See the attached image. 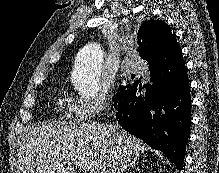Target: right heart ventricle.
I'll return each mask as SVG.
<instances>
[{"instance_id": "1", "label": "right heart ventricle", "mask_w": 219, "mask_h": 173, "mask_svg": "<svg viewBox=\"0 0 219 173\" xmlns=\"http://www.w3.org/2000/svg\"><path fill=\"white\" fill-rule=\"evenodd\" d=\"M60 110L63 109V104L62 103H59V107H58ZM68 111H69V107H68Z\"/></svg>"}]
</instances>
